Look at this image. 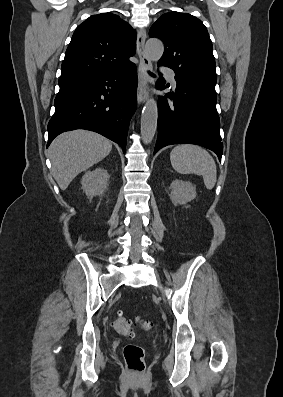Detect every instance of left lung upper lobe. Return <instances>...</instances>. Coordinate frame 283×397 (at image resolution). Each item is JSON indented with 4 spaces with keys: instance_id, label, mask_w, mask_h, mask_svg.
<instances>
[{
    "instance_id": "5c2ea615",
    "label": "left lung upper lobe",
    "mask_w": 283,
    "mask_h": 397,
    "mask_svg": "<svg viewBox=\"0 0 283 397\" xmlns=\"http://www.w3.org/2000/svg\"><path fill=\"white\" fill-rule=\"evenodd\" d=\"M149 36L164 43L158 64L173 69L175 79L216 94L212 41L201 20L187 13H165L152 25Z\"/></svg>"
}]
</instances>
